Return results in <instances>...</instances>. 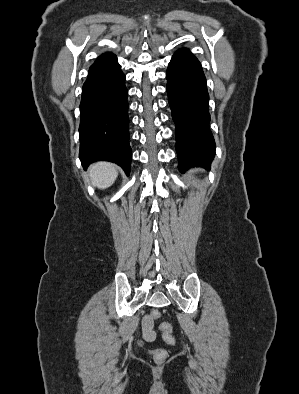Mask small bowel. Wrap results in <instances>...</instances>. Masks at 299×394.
Instances as JSON below:
<instances>
[{"mask_svg": "<svg viewBox=\"0 0 299 394\" xmlns=\"http://www.w3.org/2000/svg\"><path fill=\"white\" fill-rule=\"evenodd\" d=\"M153 319L150 316H145L142 322V334L143 338L152 342L156 339V332L153 330Z\"/></svg>", "mask_w": 299, "mask_h": 394, "instance_id": "obj_1", "label": "small bowel"}]
</instances>
